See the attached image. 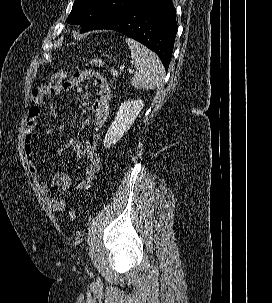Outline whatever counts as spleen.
<instances>
[{
    "instance_id": "1",
    "label": "spleen",
    "mask_w": 272,
    "mask_h": 303,
    "mask_svg": "<svg viewBox=\"0 0 272 303\" xmlns=\"http://www.w3.org/2000/svg\"><path fill=\"white\" fill-rule=\"evenodd\" d=\"M131 50V64L135 68L131 84L135 88L153 90L162 83L165 69L158 56L139 42L126 38Z\"/></svg>"
}]
</instances>
